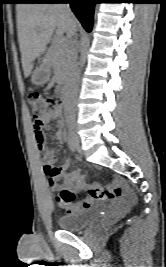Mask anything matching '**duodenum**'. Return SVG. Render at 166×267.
<instances>
[{
  "instance_id": "1",
  "label": "duodenum",
  "mask_w": 166,
  "mask_h": 267,
  "mask_svg": "<svg viewBox=\"0 0 166 267\" xmlns=\"http://www.w3.org/2000/svg\"><path fill=\"white\" fill-rule=\"evenodd\" d=\"M43 67L45 70L48 69V60L47 59H44L43 60ZM58 95H59V98H60V105H63L64 104V101L67 97V85L65 83H63L59 89H58Z\"/></svg>"
}]
</instances>
